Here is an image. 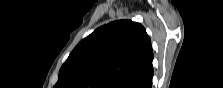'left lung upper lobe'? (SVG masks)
Instances as JSON below:
<instances>
[{
	"label": "left lung upper lobe",
	"mask_w": 223,
	"mask_h": 88,
	"mask_svg": "<svg viewBox=\"0 0 223 88\" xmlns=\"http://www.w3.org/2000/svg\"><path fill=\"white\" fill-rule=\"evenodd\" d=\"M151 41L139 23L111 22L71 52L54 88H133L153 71Z\"/></svg>",
	"instance_id": "5c2ea615"
}]
</instances>
